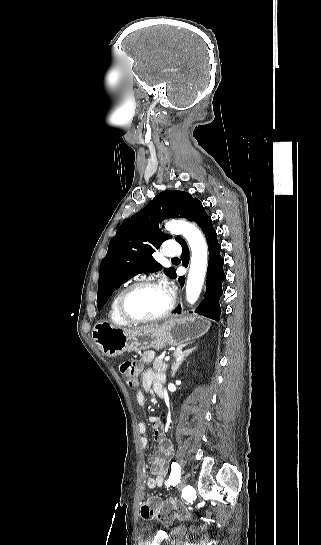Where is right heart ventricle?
I'll return each mask as SVG.
<instances>
[{
	"mask_svg": "<svg viewBox=\"0 0 321 545\" xmlns=\"http://www.w3.org/2000/svg\"><path fill=\"white\" fill-rule=\"evenodd\" d=\"M124 288L120 289L111 299L110 303H109V307H108V320L110 322V324L114 327H117V328H123V327H126L127 324L124 323L121 318L119 317L118 315V312H117V299H118V296L120 294V292L123 290Z\"/></svg>",
	"mask_w": 321,
	"mask_h": 545,
	"instance_id": "1",
	"label": "right heart ventricle"
}]
</instances>
